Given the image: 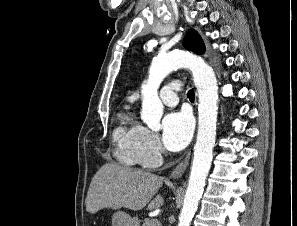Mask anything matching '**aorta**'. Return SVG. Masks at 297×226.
I'll use <instances>...</instances> for the list:
<instances>
[{
    "instance_id": "obj_1",
    "label": "aorta",
    "mask_w": 297,
    "mask_h": 226,
    "mask_svg": "<svg viewBox=\"0 0 297 226\" xmlns=\"http://www.w3.org/2000/svg\"><path fill=\"white\" fill-rule=\"evenodd\" d=\"M176 68L192 71L198 91V133L194 157L178 226H189L202 197L213 158L216 140L218 86L213 69L198 56L185 51H172L153 60L148 81L142 86L141 118L147 126L158 131L163 104L158 88L163 79Z\"/></svg>"
}]
</instances>
